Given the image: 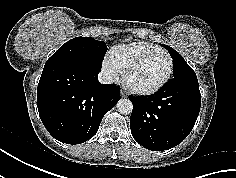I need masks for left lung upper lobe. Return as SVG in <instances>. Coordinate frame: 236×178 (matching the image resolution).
<instances>
[{
  "label": "left lung upper lobe",
  "instance_id": "left-lung-upper-lobe-1",
  "mask_svg": "<svg viewBox=\"0 0 236 178\" xmlns=\"http://www.w3.org/2000/svg\"><path fill=\"white\" fill-rule=\"evenodd\" d=\"M168 52L170 53L171 57L173 58V73L174 78L178 80H195L197 76L194 70L186 63L184 58L173 48L163 45Z\"/></svg>",
  "mask_w": 236,
  "mask_h": 178
}]
</instances>
